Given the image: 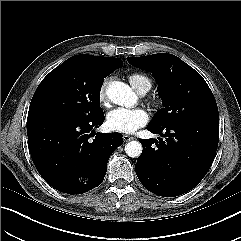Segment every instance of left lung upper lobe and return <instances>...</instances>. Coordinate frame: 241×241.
I'll list each match as a JSON object with an SVG mask.
<instances>
[{
  "label": "left lung upper lobe",
  "instance_id": "1",
  "mask_svg": "<svg viewBox=\"0 0 241 241\" xmlns=\"http://www.w3.org/2000/svg\"><path fill=\"white\" fill-rule=\"evenodd\" d=\"M130 64L150 71L158 82L164 108L150 126L160 128L170 124L203 121L219 124L215 98L203 77L180 58L158 53L144 57H127Z\"/></svg>",
  "mask_w": 241,
  "mask_h": 241
}]
</instances>
